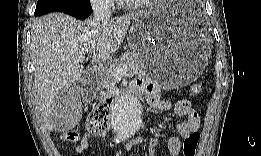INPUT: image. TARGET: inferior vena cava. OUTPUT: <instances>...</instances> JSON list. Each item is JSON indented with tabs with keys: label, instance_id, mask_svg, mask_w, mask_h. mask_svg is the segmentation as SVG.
Masks as SVG:
<instances>
[{
	"label": "inferior vena cava",
	"instance_id": "obj_1",
	"mask_svg": "<svg viewBox=\"0 0 261 156\" xmlns=\"http://www.w3.org/2000/svg\"><path fill=\"white\" fill-rule=\"evenodd\" d=\"M93 14L97 23L107 22L111 18V9L106 1H96L93 3Z\"/></svg>",
	"mask_w": 261,
	"mask_h": 156
}]
</instances>
